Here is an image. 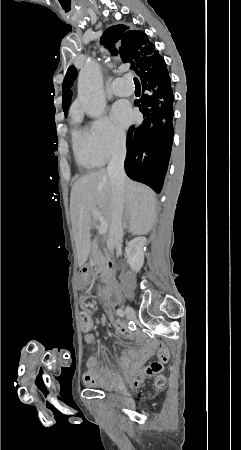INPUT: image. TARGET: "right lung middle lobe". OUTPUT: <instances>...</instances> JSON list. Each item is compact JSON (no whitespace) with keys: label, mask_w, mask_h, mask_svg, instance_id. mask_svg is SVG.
<instances>
[{"label":"right lung middle lobe","mask_w":241,"mask_h":450,"mask_svg":"<svg viewBox=\"0 0 241 450\" xmlns=\"http://www.w3.org/2000/svg\"><path fill=\"white\" fill-rule=\"evenodd\" d=\"M75 78H76V75L64 79V82H63V88H62V91H63V111L65 113V117L67 116V113H68L67 112L68 108H69L68 105L71 102L72 92L70 91V87L73 85V81L75 80Z\"/></svg>","instance_id":"obj_1"}]
</instances>
